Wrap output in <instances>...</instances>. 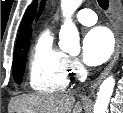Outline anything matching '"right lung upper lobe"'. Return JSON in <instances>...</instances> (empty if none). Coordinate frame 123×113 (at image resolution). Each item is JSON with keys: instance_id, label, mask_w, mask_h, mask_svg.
I'll use <instances>...</instances> for the list:
<instances>
[{"instance_id": "1", "label": "right lung upper lobe", "mask_w": 123, "mask_h": 113, "mask_svg": "<svg viewBox=\"0 0 123 113\" xmlns=\"http://www.w3.org/2000/svg\"><path fill=\"white\" fill-rule=\"evenodd\" d=\"M36 8H37V1L35 0L34 2H32L29 5V7L27 8V10L24 14L23 20L19 27L20 33L17 38L16 47H18L30 40L31 33H32L31 23H32L34 16L36 14Z\"/></svg>"}]
</instances>
